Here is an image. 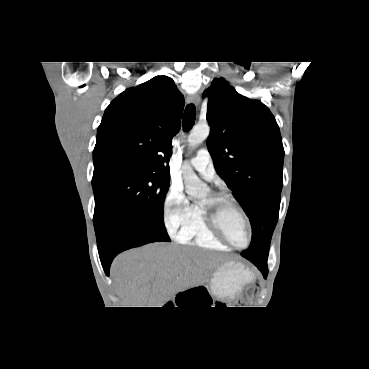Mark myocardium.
I'll use <instances>...</instances> for the list:
<instances>
[{"label":"myocardium","mask_w":369,"mask_h":369,"mask_svg":"<svg viewBox=\"0 0 369 369\" xmlns=\"http://www.w3.org/2000/svg\"><path fill=\"white\" fill-rule=\"evenodd\" d=\"M226 204L235 207L244 219L248 232V239L244 246H237L232 243L221 226L220 213L222 207ZM200 207L202 209L208 229L219 241L236 250H243L250 246L253 237L250 219L243 207L232 196L225 193H213L210 195L208 203L200 205Z\"/></svg>","instance_id":"1"}]
</instances>
